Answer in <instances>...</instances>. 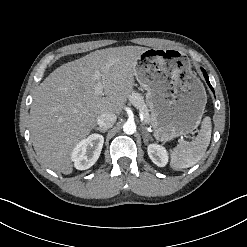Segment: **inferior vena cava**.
<instances>
[{
  "label": "inferior vena cava",
  "mask_w": 247,
  "mask_h": 247,
  "mask_svg": "<svg viewBox=\"0 0 247 247\" xmlns=\"http://www.w3.org/2000/svg\"><path fill=\"white\" fill-rule=\"evenodd\" d=\"M116 119L117 118L114 113L104 112L98 117L97 124L100 126V128L108 129L114 125Z\"/></svg>",
  "instance_id": "1"
}]
</instances>
